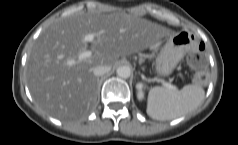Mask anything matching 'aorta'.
Wrapping results in <instances>:
<instances>
[{
    "label": "aorta",
    "mask_w": 238,
    "mask_h": 145,
    "mask_svg": "<svg viewBox=\"0 0 238 145\" xmlns=\"http://www.w3.org/2000/svg\"><path fill=\"white\" fill-rule=\"evenodd\" d=\"M116 73L121 78H129L131 75V69L129 66L123 65L119 66L116 70Z\"/></svg>",
    "instance_id": "1"
}]
</instances>
